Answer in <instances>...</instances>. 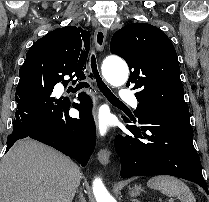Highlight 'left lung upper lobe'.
Segmentation results:
<instances>
[{
	"label": "left lung upper lobe",
	"mask_w": 209,
	"mask_h": 202,
	"mask_svg": "<svg viewBox=\"0 0 209 202\" xmlns=\"http://www.w3.org/2000/svg\"><path fill=\"white\" fill-rule=\"evenodd\" d=\"M110 51L127 62L130 76L126 86L137 90L138 107L189 112L175 48L160 29L147 23L128 24L115 32Z\"/></svg>",
	"instance_id": "obj_1"
}]
</instances>
